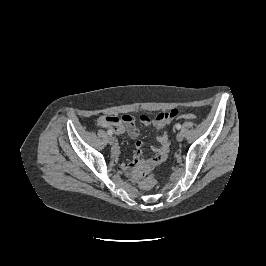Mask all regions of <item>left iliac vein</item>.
<instances>
[{"instance_id":"obj_1","label":"left iliac vein","mask_w":266,"mask_h":266,"mask_svg":"<svg viewBox=\"0 0 266 266\" xmlns=\"http://www.w3.org/2000/svg\"><path fill=\"white\" fill-rule=\"evenodd\" d=\"M183 138H184V136H183L182 133H178V134L176 135V139H177L179 142H181V141L183 140Z\"/></svg>"}]
</instances>
